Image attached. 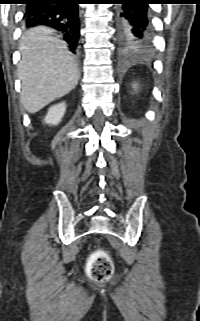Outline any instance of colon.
I'll return each instance as SVG.
<instances>
[{"instance_id":"colon-1","label":"colon","mask_w":200,"mask_h":321,"mask_svg":"<svg viewBox=\"0 0 200 321\" xmlns=\"http://www.w3.org/2000/svg\"><path fill=\"white\" fill-rule=\"evenodd\" d=\"M113 273L110 257L103 251L95 252L89 262V275L95 280H105Z\"/></svg>"}]
</instances>
